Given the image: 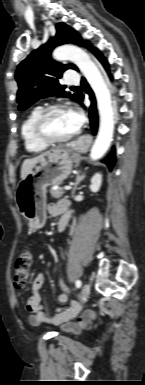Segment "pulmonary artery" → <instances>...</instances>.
Segmentation results:
<instances>
[{
    "mask_svg": "<svg viewBox=\"0 0 145 385\" xmlns=\"http://www.w3.org/2000/svg\"><path fill=\"white\" fill-rule=\"evenodd\" d=\"M66 83L67 84H76L79 82V77L74 71H68L66 75Z\"/></svg>",
    "mask_w": 145,
    "mask_h": 385,
    "instance_id": "1",
    "label": "pulmonary artery"
}]
</instances>
